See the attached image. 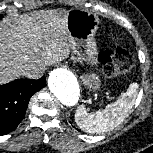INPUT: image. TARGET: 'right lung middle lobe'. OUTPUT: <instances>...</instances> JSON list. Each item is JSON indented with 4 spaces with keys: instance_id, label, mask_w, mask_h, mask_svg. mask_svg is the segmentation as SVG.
<instances>
[{
    "instance_id": "right-lung-middle-lobe-1",
    "label": "right lung middle lobe",
    "mask_w": 153,
    "mask_h": 153,
    "mask_svg": "<svg viewBox=\"0 0 153 153\" xmlns=\"http://www.w3.org/2000/svg\"><path fill=\"white\" fill-rule=\"evenodd\" d=\"M3 16L0 14V19L2 18Z\"/></svg>"
}]
</instances>
